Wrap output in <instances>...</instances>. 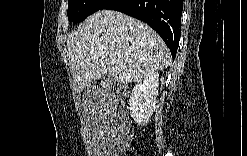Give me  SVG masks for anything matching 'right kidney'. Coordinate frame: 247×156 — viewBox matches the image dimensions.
<instances>
[{"mask_svg": "<svg viewBox=\"0 0 247 156\" xmlns=\"http://www.w3.org/2000/svg\"><path fill=\"white\" fill-rule=\"evenodd\" d=\"M159 74L150 71L133 87L129 99V113L138 125L149 122L158 96Z\"/></svg>", "mask_w": 247, "mask_h": 156, "instance_id": "right-kidney-1", "label": "right kidney"}]
</instances>
